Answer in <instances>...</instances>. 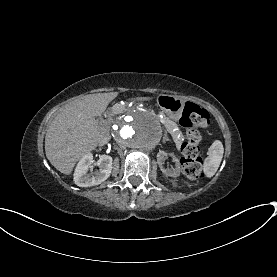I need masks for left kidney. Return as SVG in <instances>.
Listing matches in <instances>:
<instances>
[{
    "label": "left kidney",
    "mask_w": 277,
    "mask_h": 277,
    "mask_svg": "<svg viewBox=\"0 0 277 277\" xmlns=\"http://www.w3.org/2000/svg\"><path fill=\"white\" fill-rule=\"evenodd\" d=\"M169 155L173 158V160L176 162V166L177 169L175 170H167L163 167V162H164V158ZM157 163L161 169V171L166 175V176H170V177H178L180 175V162L179 160L175 157V155L173 153H166L164 151H160L157 154Z\"/></svg>",
    "instance_id": "1"
}]
</instances>
